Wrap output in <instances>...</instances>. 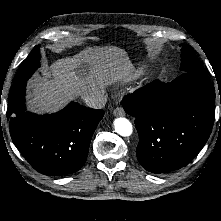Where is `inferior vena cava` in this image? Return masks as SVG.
<instances>
[{
    "label": "inferior vena cava",
    "mask_w": 221,
    "mask_h": 221,
    "mask_svg": "<svg viewBox=\"0 0 221 221\" xmlns=\"http://www.w3.org/2000/svg\"><path fill=\"white\" fill-rule=\"evenodd\" d=\"M83 100L88 107L96 109L103 108L106 104L105 96L100 93H92L87 95L83 97Z\"/></svg>",
    "instance_id": "602c4592"
}]
</instances>
